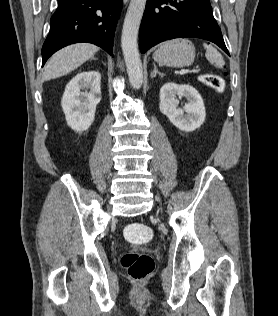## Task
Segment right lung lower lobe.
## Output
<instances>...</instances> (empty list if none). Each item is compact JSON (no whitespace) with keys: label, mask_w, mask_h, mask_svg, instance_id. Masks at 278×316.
Listing matches in <instances>:
<instances>
[{"label":"right lung lower lobe","mask_w":278,"mask_h":316,"mask_svg":"<svg viewBox=\"0 0 278 316\" xmlns=\"http://www.w3.org/2000/svg\"><path fill=\"white\" fill-rule=\"evenodd\" d=\"M121 10L122 0H58L42 47V66L57 50L79 42L93 43L112 55Z\"/></svg>","instance_id":"98d812e1"}]
</instances>
